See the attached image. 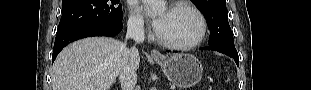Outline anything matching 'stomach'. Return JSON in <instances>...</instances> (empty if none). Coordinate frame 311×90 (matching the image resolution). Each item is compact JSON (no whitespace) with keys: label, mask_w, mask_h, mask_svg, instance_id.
Here are the masks:
<instances>
[{"label":"stomach","mask_w":311,"mask_h":90,"mask_svg":"<svg viewBox=\"0 0 311 90\" xmlns=\"http://www.w3.org/2000/svg\"><path fill=\"white\" fill-rule=\"evenodd\" d=\"M154 61L162 68L167 79L180 88L197 84L203 74L200 61L192 54H174Z\"/></svg>","instance_id":"obj_1"}]
</instances>
